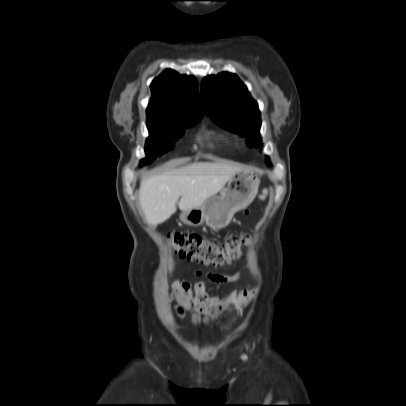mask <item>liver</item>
<instances>
[{
	"label": "liver",
	"instance_id": "6515ba94",
	"mask_svg": "<svg viewBox=\"0 0 406 406\" xmlns=\"http://www.w3.org/2000/svg\"><path fill=\"white\" fill-rule=\"evenodd\" d=\"M240 170L230 163L196 162L144 179L139 199L146 221L157 225L168 220L180 197L181 211L200 207Z\"/></svg>",
	"mask_w": 406,
	"mask_h": 406
}]
</instances>
